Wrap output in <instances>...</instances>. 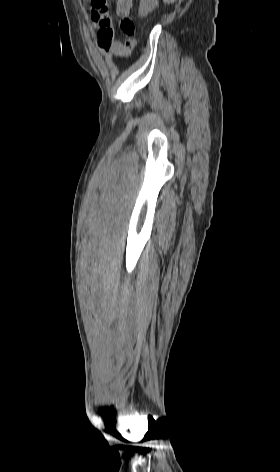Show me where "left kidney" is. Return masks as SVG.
<instances>
[{
  "mask_svg": "<svg viewBox=\"0 0 280 472\" xmlns=\"http://www.w3.org/2000/svg\"><path fill=\"white\" fill-rule=\"evenodd\" d=\"M165 2L169 0H164ZM156 6V0H140L139 15L146 16Z\"/></svg>",
  "mask_w": 280,
  "mask_h": 472,
  "instance_id": "obj_1",
  "label": "left kidney"
}]
</instances>
